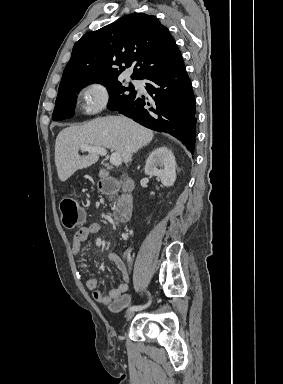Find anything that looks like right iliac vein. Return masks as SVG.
Listing matches in <instances>:
<instances>
[{"label": "right iliac vein", "instance_id": "63e3f726", "mask_svg": "<svg viewBox=\"0 0 283 384\" xmlns=\"http://www.w3.org/2000/svg\"><path fill=\"white\" fill-rule=\"evenodd\" d=\"M135 312H136V310H131V309H129V310L127 311L126 315H125L126 320L129 321V320L133 317V315H134Z\"/></svg>", "mask_w": 283, "mask_h": 384}]
</instances>
